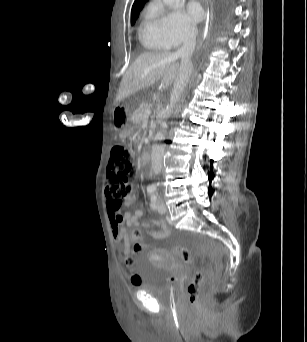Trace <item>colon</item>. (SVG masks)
Instances as JSON below:
<instances>
[{
	"instance_id": "5ec220e1",
	"label": "colon",
	"mask_w": 307,
	"mask_h": 342,
	"mask_svg": "<svg viewBox=\"0 0 307 342\" xmlns=\"http://www.w3.org/2000/svg\"><path fill=\"white\" fill-rule=\"evenodd\" d=\"M135 177V168L130 149L124 143H117L111 150L110 164L107 170L106 194L111 201V210L120 211L124 206V201L133 189V179ZM140 230H133L131 240L134 242L131 248L133 254L138 256L140 251H144L145 246L140 242ZM172 255L179 257L186 263L193 259L192 252L186 246H173ZM133 257L129 256L126 260L128 264H133ZM192 281H186L188 294H185L186 307H201L200 295H203L205 288L204 269H191ZM133 286H139L142 278L138 274L130 277Z\"/></svg>"
}]
</instances>
